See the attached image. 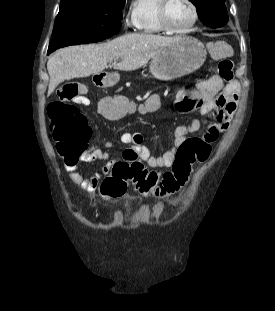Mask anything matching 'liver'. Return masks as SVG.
Instances as JSON below:
<instances>
[{"mask_svg":"<svg viewBox=\"0 0 275 311\" xmlns=\"http://www.w3.org/2000/svg\"><path fill=\"white\" fill-rule=\"evenodd\" d=\"M181 39L160 35L131 33L103 44L70 46L58 50L47 63L50 76L48 94L63 81L101 73L108 63L122 58L116 69L134 71L146 65L164 47Z\"/></svg>","mask_w":275,"mask_h":311,"instance_id":"obj_1","label":"liver"}]
</instances>
